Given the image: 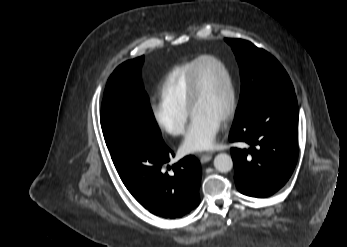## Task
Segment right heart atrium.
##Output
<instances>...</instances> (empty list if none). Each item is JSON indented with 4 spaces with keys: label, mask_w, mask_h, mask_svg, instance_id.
Instances as JSON below:
<instances>
[{
    "label": "right heart atrium",
    "mask_w": 347,
    "mask_h": 247,
    "mask_svg": "<svg viewBox=\"0 0 347 247\" xmlns=\"http://www.w3.org/2000/svg\"><path fill=\"white\" fill-rule=\"evenodd\" d=\"M151 114L157 127L164 133L173 137L184 133L188 120L187 109L160 100L151 104Z\"/></svg>",
    "instance_id": "obj_1"
}]
</instances>
